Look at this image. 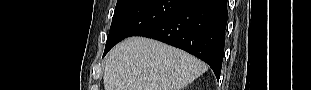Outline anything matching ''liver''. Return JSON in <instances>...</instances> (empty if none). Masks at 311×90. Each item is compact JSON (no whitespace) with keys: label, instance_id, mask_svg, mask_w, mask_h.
<instances>
[{"label":"liver","instance_id":"liver-1","mask_svg":"<svg viewBox=\"0 0 311 90\" xmlns=\"http://www.w3.org/2000/svg\"><path fill=\"white\" fill-rule=\"evenodd\" d=\"M207 70L196 57L162 42L131 37L108 54L105 90H182Z\"/></svg>","mask_w":311,"mask_h":90}]
</instances>
